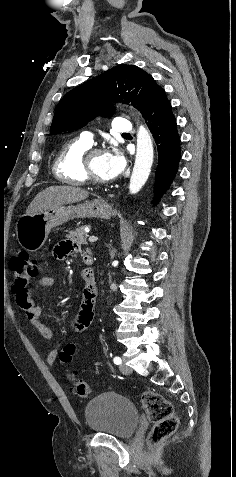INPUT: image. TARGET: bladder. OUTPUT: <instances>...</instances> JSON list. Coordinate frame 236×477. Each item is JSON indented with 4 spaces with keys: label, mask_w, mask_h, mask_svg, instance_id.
I'll use <instances>...</instances> for the list:
<instances>
[{
    "label": "bladder",
    "mask_w": 236,
    "mask_h": 477,
    "mask_svg": "<svg viewBox=\"0 0 236 477\" xmlns=\"http://www.w3.org/2000/svg\"><path fill=\"white\" fill-rule=\"evenodd\" d=\"M84 417L89 430L117 438L131 437L140 419L136 405L113 391L92 399L85 407Z\"/></svg>",
    "instance_id": "31cf9c89"
}]
</instances>
